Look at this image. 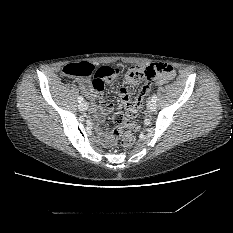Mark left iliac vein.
I'll return each instance as SVG.
<instances>
[{"mask_svg":"<svg viewBox=\"0 0 233 233\" xmlns=\"http://www.w3.org/2000/svg\"><path fill=\"white\" fill-rule=\"evenodd\" d=\"M148 110L154 111L156 109V103L155 102H149L147 105Z\"/></svg>","mask_w":233,"mask_h":233,"instance_id":"obj_1","label":"left iliac vein"}]
</instances>
